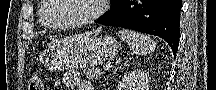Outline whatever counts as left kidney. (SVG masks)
<instances>
[{
  "label": "left kidney",
  "mask_w": 216,
  "mask_h": 90,
  "mask_svg": "<svg viewBox=\"0 0 216 90\" xmlns=\"http://www.w3.org/2000/svg\"><path fill=\"white\" fill-rule=\"evenodd\" d=\"M150 76L146 70H132L118 84V90H149Z\"/></svg>",
  "instance_id": "left-kidney-1"
}]
</instances>
